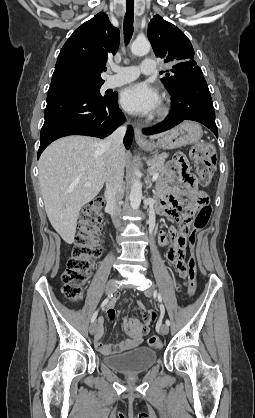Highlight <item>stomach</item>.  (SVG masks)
I'll return each instance as SVG.
<instances>
[{
    "label": "stomach",
    "mask_w": 255,
    "mask_h": 418,
    "mask_svg": "<svg viewBox=\"0 0 255 418\" xmlns=\"http://www.w3.org/2000/svg\"><path fill=\"white\" fill-rule=\"evenodd\" d=\"M202 131L199 125L193 122H184L178 127L164 133L157 142L143 143V149L155 151L158 148L174 149L189 144H194L200 140Z\"/></svg>",
    "instance_id": "stomach-1"
}]
</instances>
